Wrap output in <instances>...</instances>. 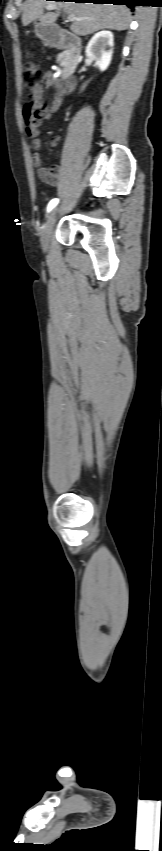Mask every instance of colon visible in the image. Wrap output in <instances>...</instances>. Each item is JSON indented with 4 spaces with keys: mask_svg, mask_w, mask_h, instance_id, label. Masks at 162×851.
Wrapping results in <instances>:
<instances>
[{
    "mask_svg": "<svg viewBox=\"0 0 162 851\" xmlns=\"http://www.w3.org/2000/svg\"><path fill=\"white\" fill-rule=\"evenodd\" d=\"M23 81L25 88L33 92L43 81V74L35 64L28 62L23 72Z\"/></svg>",
    "mask_w": 162,
    "mask_h": 851,
    "instance_id": "colon-1",
    "label": "colon"
}]
</instances>
